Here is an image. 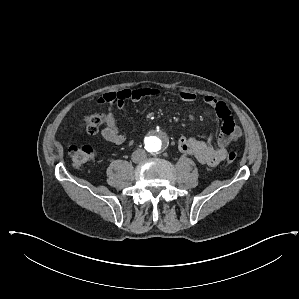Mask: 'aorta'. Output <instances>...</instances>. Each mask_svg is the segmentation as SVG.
<instances>
[{
    "instance_id": "1",
    "label": "aorta",
    "mask_w": 299,
    "mask_h": 299,
    "mask_svg": "<svg viewBox=\"0 0 299 299\" xmlns=\"http://www.w3.org/2000/svg\"><path fill=\"white\" fill-rule=\"evenodd\" d=\"M166 136L162 132H153L145 138V149L152 155L160 153L166 146Z\"/></svg>"
}]
</instances>
